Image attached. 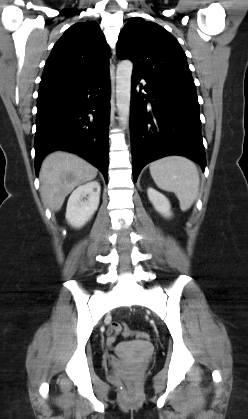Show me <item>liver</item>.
Listing matches in <instances>:
<instances>
[{"mask_svg":"<svg viewBox=\"0 0 248 419\" xmlns=\"http://www.w3.org/2000/svg\"><path fill=\"white\" fill-rule=\"evenodd\" d=\"M97 169L83 158L56 151L43 160L39 173L42 202L51 210L61 209L66 196L78 185L94 179Z\"/></svg>","mask_w":248,"mask_h":419,"instance_id":"6515ba94","label":"liver"}]
</instances>
